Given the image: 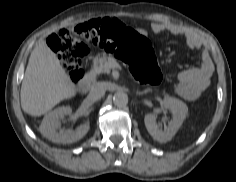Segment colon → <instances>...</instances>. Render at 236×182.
I'll use <instances>...</instances> for the list:
<instances>
[{"mask_svg": "<svg viewBox=\"0 0 236 182\" xmlns=\"http://www.w3.org/2000/svg\"><path fill=\"white\" fill-rule=\"evenodd\" d=\"M48 45L73 82L83 77L82 62L91 46L115 52L130 66L135 77L145 84H157L161 71L149 40L116 19L90 21L61 29L48 38Z\"/></svg>", "mask_w": 236, "mask_h": 182, "instance_id": "colon-1", "label": "colon"}]
</instances>
